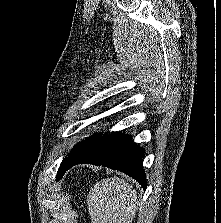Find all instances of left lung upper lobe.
<instances>
[{
    "instance_id": "obj_1",
    "label": "left lung upper lobe",
    "mask_w": 221,
    "mask_h": 223,
    "mask_svg": "<svg viewBox=\"0 0 221 223\" xmlns=\"http://www.w3.org/2000/svg\"><path fill=\"white\" fill-rule=\"evenodd\" d=\"M101 133L96 134L87 138L86 140L77 143L74 148L70 151L68 157H65L62 161L60 168L57 173V180H59L67 170L70 162H72L79 154H81L85 149H87L99 136Z\"/></svg>"
}]
</instances>
